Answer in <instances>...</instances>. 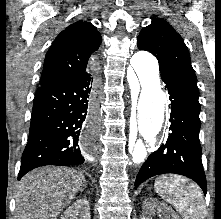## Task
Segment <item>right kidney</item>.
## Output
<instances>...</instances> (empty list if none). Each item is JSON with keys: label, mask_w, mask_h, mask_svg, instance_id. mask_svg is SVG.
Masks as SVG:
<instances>
[{"label": "right kidney", "mask_w": 221, "mask_h": 219, "mask_svg": "<svg viewBox=\"0 0 221 219\" xmlns=\"http://www.w3.org/2000/svg\"><path fill=\"white\" fill-rule=\"evenodd\" d=\"M61 219H91L89 201L86 198L76 200L64 211Z\"/></svg>", "instance_id": "1"}]
</instances>
